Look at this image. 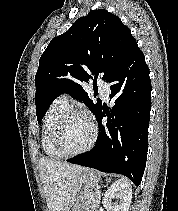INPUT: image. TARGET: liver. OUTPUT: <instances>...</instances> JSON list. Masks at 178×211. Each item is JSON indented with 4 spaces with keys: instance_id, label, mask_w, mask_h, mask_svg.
<instances>
[{
    "instance_id": "6515ba94",
    "label": "liver",
    "mask_w": 178,
    "mask_h": 211,
    "mask_svg": "<svg viewBox=\"0 0 178 211\" xmlns=\"http://www.w3.org/2000/svg\"><path fill=\"white\" fill-rule=\"evenodd\" d=\"M87 169L74 164L41 158L40 177L49 211H67L78 174Z\"/></svg>"
}]
</instances>
